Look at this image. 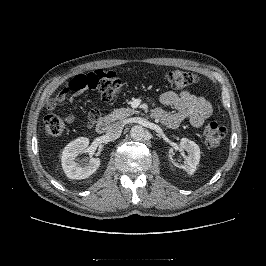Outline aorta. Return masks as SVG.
<instances>
[{
  "label": "aorta",
  "mask_w": 266,
  "mask_h": 266,
  "mask_svg": "<svg viewBox=\"0 0 266 266\" xmlns=\"http://www.w3.org/2000/svg\"><path fill=\"white\" fill-rule=\"evenodd\" d=\"M130 136L135 141H140L146 138L145 129L141 125H135L130 130Z\"/></svg>",
  "instance_id": "aorta-1"
}]
</instances>
